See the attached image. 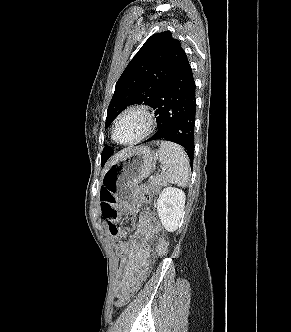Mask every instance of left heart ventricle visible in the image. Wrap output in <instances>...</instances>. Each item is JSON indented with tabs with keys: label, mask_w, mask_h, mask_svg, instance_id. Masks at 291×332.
Instances as JSON below:
<instances>
[{
	"label": "left heart ventricle",
	"mask_w": 291,
	"mask_h": 332,
	"mask_svg": "<svg viewBox=\"0 0 291 332\" xmlns=\"http://www.w3.org/2000/svg\"><path fill=\"white\" fill-rule=\"evenodd\" d=\"M145 128V117L139 112H130L119 121L116 135L120 141H131L139 137L144 132Z\"/></svg>",
	"instance_id": "obj_1"
}]
</instances>
